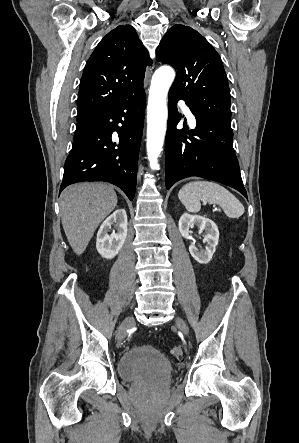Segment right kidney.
I'll use <instances>...</instances> for the list:
<instances>
[{
  "instance_id": "obj_1",
  "label": "right kidney",
  "mask_w": 299,
  "mask_h": 443,
  "mask_svg": "<svg viewBox=\"0 0 299 443\" xmlns=\"http://www.w3.org/2000/svg\"><path fill=\"white\" fill-rule=\"evenodd\" d=\"M117 224V232L108 234L111 225ZM127 215L124 209H118L111 214L100 226L97 233L96 248L106 259L114 258L121 250L127 236Z\"/></svg>"
}]
</instances>
